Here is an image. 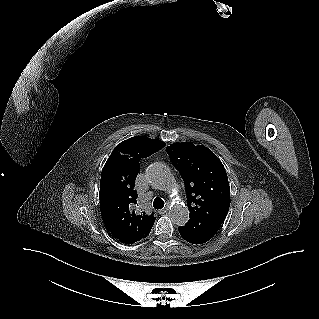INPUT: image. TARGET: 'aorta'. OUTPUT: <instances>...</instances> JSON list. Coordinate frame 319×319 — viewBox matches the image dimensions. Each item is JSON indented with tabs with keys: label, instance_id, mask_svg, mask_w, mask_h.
<instances>
[{
	"label": "aorta",
	"instance_id": "aorta-1",
	"mask_svg": "<svg viewBox=\"0 0 319 319\" xmlns=\"http://www.w3.org/2000/svg\"><path fill=\"white\" fill-rule=\"evenodd\" d=\"M146 176L155 187L170 189L173 186L172 174L163 163L151 164L146 170ZM169 217L174 224L184 225L189 219V210L184 204L174 201L169 209Z\"/></svg>",
	"mask_w": 319,
	"mask_h": 319
}]
</instances>
